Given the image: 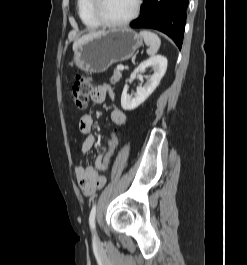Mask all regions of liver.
<instances>
[{"instance_id": "liver-1", "label": "liver", "mask_w": 247, "mask_h": 265, "mask_svg": "<svg viewBox=\"0 0 247 265\" xmlns=\"http://www.w3.org/2000/svg\"><path fill=\"white\" fill-rule=\"evenodd\" d=\"M102 33V31H99V32H92V33H89L87 35H84L82 36L80 39L76 40L74 43H73V50L76 49V47L83 43L84 41L90 39V38H93L95 36H98Z\"/></svg>"}]
</instances>
